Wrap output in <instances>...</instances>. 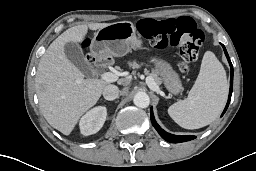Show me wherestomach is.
I'll list each match as a JSON object with an SVG mask.
<instances>
[{"instance_id":"0dacf381","label":"stomach","mask_w":256,"mask_h":171,"mask_svg":"<svg viewBox=\"0 0 256 171\" xmlns=\"http://www.w3.org/2000/svg\"><path fill=\"white\" fill-rule=\"evenodd\" d=\"M130 48L142 49V40L136 36V27L132 22L122 21L98 30L94 36L92 53L95 57L104 59L111 56H124ZM149 61L154 64L157 74L169 93L178 95L182 91V84L172 66L157 56H151Z\"/></svg>"}]
</instances>
